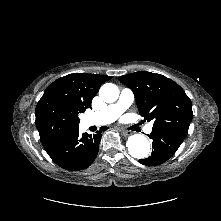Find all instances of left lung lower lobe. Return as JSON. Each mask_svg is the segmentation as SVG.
I'll use <instances>...</instances> for the list:
<instances>
[{
  "mask_svg": "<svg viewBox=\"0 0 221 221\" xmlns=\"http://www.w3.org/2000/svg\"><path fill=\"white\" fill-rule=\"evenodd\" d=\"M152 140V153L149 157L139 160L143 165L156 166L170 159L185 138L165 130L152 129L150 135Z\"/></svg>",
  "mask_w": 221,
  "mask_h": 221,
  "instance_id": "1",
  "label": "left lung lower lobe"
}]
</instances>
